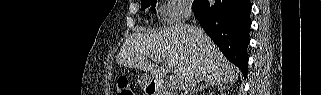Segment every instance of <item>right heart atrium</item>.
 I'll return each instance as SVG.
<instances>
[{
  "instance_id": "d8ad5b80",
  "label": "right heart atrium",
  "mask_w": 321,
  "mask_h": 95,
  "mask_svg": "<svg viewBox=\"0 0 321 95\" xmlns=\"http://www.w3.org/2000/svg\"><path fill=\"white\" fill-rule=\"evenodd\" d=\"M191 10L188 0H168L160 4L158 13L165 23H176L185 20Z\"/></svg>"
}]
</instances>
